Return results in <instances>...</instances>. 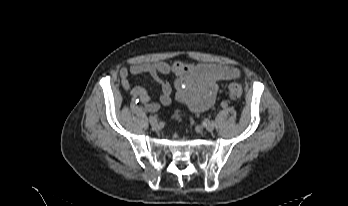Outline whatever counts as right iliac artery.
I'll return each instance as SVG.
<instances>
[{"mask_svg":"<svg viewBox=\"0 0 348 206\" xmlns=\"http://www.w3.org/2000/svg\"><path fill=\"white\" fill-rule=\"evenodd\" d=\"M140 102V99L138 97H133V103L138 104Z\"/></svg>","mask_w":348,"mask_h":206,"instance_id":"obj_1","label":"right iliac artery"}]
</instances>
